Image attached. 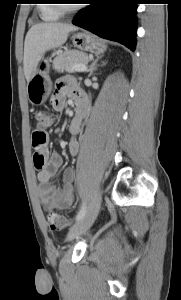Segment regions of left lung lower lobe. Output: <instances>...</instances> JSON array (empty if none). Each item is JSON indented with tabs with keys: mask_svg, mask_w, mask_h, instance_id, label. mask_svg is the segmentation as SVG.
Segmentation results:
<instances>
[{
	"mask_svg": "<svg viewBox=\"0 0 181 300\" xmlns=\"http://www.w3.org/2000/svg\"><path fill=\"white\" fill-rule=\"evenodd\" d=\"M138 0H87L90 4L74 17L73 24L94 34L120 42L134 51Z\"/></svg>",
	"mask_w": 181,
	"mask_h": 300,
	"instance_id": "0a47b994",
	"label": "left lung lower lobe"
}]
</instances>
